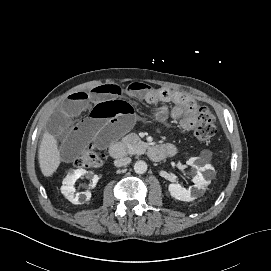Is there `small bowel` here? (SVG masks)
I'll list each match as a JSON object with an SVG mask.
<instances>
[{"label":"small bowel","mask_w":271,"mask_h":271,"mask_svg":"<svg viewBox=\"0 0 271 271\" xmlns=\"http://www.w3.org/2000/svg\"><path fill=\"white\" fill-rule=\"evenodd\" d=\"M133 99L161 105L155 114L160 121L178 118L186 111L187 102L191 101L181 92L156 89L140 82L131 83L125 89L105 84L88 91L74 92L52 115L48 126L50 135L58 142L62 159L70 162L92 140L103 146L130 130L135 121ZM167 103L172 106L167 107ZM83 112H88L87 117L75 123ZM161 147L168 152V156L176 152L171 143Z\"/></svg>","instance_id":"1"}]
</instances>
